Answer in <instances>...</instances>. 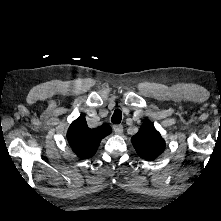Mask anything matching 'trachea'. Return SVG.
<instances>
[{
	"mask_svg": "<svg viewBox=\"0 0 221 221\" xmlns=\"http://www.w3.org/2000/svg\"><path fill=\"white\" fill-rule=\"evenodd\" d=\"M121 120H122V112L121 110L116 109L114 114L111 117V121L114 124H120Z\"/></svg>",
	"mask_w": 221,
	"mask_h": 221,
	"instance_id": "obj_1",
	"label": "trachea"
}]
</instances>
